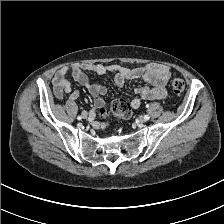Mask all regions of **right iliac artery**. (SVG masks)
Returning a JSON list of instances; mask_svg holds the SVG:
<instances>
[{"mask_svg":"<svg viewBox=\"0 0 224 224\" xmlns=\"http://www.w3.org/2000/svg\"><path fill=\"white\" fill-rule=\"evenodd\" d=\"M82 113H83V112H82ZM77 119H78V120H81V119H82V116H78Z\"/></svg>","mask_w":224,"mask_h":224,"instance_id":"82829eb1","label":"right iliac artery"}]
</instances>
